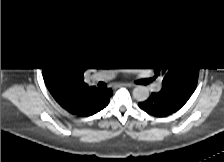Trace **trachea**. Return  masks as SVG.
<instances>
[{
  "mask_svg": "<svg viewBox=\"0 0 224 162\" xmlns=\"http://www.w3.org/2000/svg\"><path fill=\"white\" fill-rule=\"evenodd\" d=\"M98 86L99 87H104L105 85H104V83H99Z\"/></svg>",
  "mask_w": 224,
  "mask_h": 162,
  "instance_id": "trachea-1",
  "label": "trachea"
}]
</instances>
